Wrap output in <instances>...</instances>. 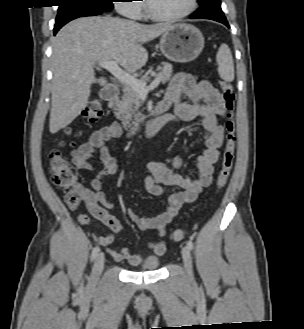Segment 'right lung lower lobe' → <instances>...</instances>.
Listing matches in <instances>:
<instances>
[{
	"label": "right lung lower lobe",
	"instance_id": "98d812e1",
	"mask_svg": "<svg viewBox=\"0 0 304 329\" xmlns=\"http://www.w3.org/2000/svg\"><path fill=\"white\" fill-rule=\"evenodd\" d=\"M103 12L101 11H83V12H79L73 15H70L62 20H60L59 22L55 23L54 26V35L58 32V30L64 26L66 23H68L69 21L76 19L78 17H84V16H94V15H99L102 14Z\"/></svg>",
	"mask_w": 304,
	"mask_h": 329
}]
</instances>
